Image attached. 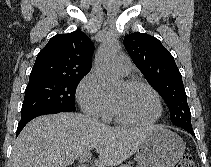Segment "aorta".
Returning <instances> with one entry per match:
<instances>
[{
  "label": "aorta",
  "mask_w": 211,
  "mask_h": 167,
  "mask_svg": "<svg viewBox=\"0 0 211 167\" xmlns=\"http://www.w3.org/2000/svg\"><path fill=\"white\" fill-rule=\"evenodd\" d=\"M119 50L116 39H108L99 48L95 57V69L100 76L101 85L104 90L111 91L121 83V78L116 74L112 60Z\"/></svg>",
  "instance_id": "aorta-1"
}]
</instances>
